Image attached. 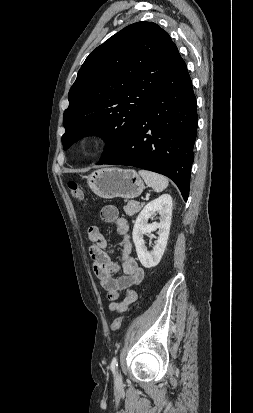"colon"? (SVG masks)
<instances>
[{"label": "colon", "mask_w": 253, "mask_h": 413, "mask_svg": "<svg viewBox=\"0 0 253 413\" xmlns=\"http://www.w3.org/2000/svg\"><path fill=\"white\" fill-rule=\"evenodd\" d=\"M68 187V191L71 194V196L75 199V200H82L84 197V191L82 190V188L79 186V184L75 181H70L67 184ZM124 317H117L115 318L112 323H111V330L112 331H117L120 327L121 324L123 322Z\"/></svg>", "instance_id": "5ec220e1"}]
</instances>
